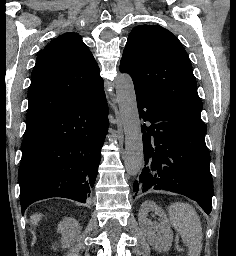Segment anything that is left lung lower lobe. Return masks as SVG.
<instances>
[{"mask_svg":"<svg viewBox=\"0 0 236 256\" xmlns=\"http://www.w3.org/2000/svg\"><path fill=\"white\" fill-rule=\"evenodd\" d=\"M142 125L145 167L134 182L135 193L165 189L195 200L209 214L213 180L201 117L136 92Z\"/></svg>","mask_w":236,"mask_h":256,"instance_id":"1","label":"left lung lower lobe"}]
</instances>
